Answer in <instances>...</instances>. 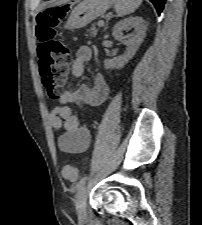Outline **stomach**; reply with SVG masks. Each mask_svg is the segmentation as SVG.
<instances>
[{"label": "stomach", "mask_w": 202, "mask_h": 225, "mask_svg": "<svg viewBox=\"0 0 202 225\" xmlns=\"http://www.w3.org/2000/svg\"><path fill=\"white\" fill-rule=\"evenodd\" d=\"M112 3L113 0H83L71 9L64 28L74 30L87 26L93 20L103 15Z\"/></svg>", "instance_id": "stomach-1"}]
</instances>
